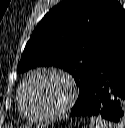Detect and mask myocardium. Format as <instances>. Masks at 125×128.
<instances>
[{
    "mask_svg": "<svg viewBox=\"0 0 125 128\" xmlns=\"http://www.w3.org/2000/svg\"><path fill=\"white\" fill-rule=\"evenodd\" d=\"M42 73L53 74L63 79L68 86V96L65 102L57 110L51 113H46V114H32L26 110L24 93L31 79L34 76ZM77 94H78V91H77L76 83L73 77L69 73L55 67H38L28 73V75L26 76V78L24 79V81L22 82L19 88V97H18L19 109L21 114L29 120L36 121V122L53 121L60 118L62 115H64L67 111L71 109V107L74 105L76 101Z\"/></svg>",
    "mask_w": 125,
    "mask_h": 128,
    "instance_id": "myocardium-1",
    "label": "myocardium"
}]
</instances>
